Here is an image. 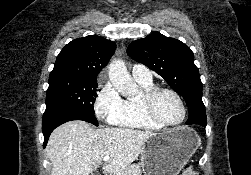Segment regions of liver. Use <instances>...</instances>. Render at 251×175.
I'll return each mask as SVG.
<instances>
[{"mask_svg":"<svg viewBox=\"0 0 251 175\" xmlns=\"http://www.w3.org/2000/svg\"><path fill=\"white\" fill-rule=\"evenodd\" d=\"M151 135V131L125 127L92 129L79 119L62 123L52 131L46 147L51 175H89L100 165L115 173L137 159ZM104 155L110 159L102 163Z\"/></svg>","mask_w":251,"mask_h":175,"instance_id":"6515ba94","label":"liver"}]
</instances>
